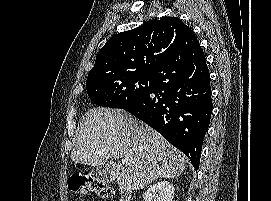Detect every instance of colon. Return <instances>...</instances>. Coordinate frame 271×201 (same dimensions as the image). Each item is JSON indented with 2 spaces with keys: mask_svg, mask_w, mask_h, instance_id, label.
<instances>
[{
  "mask_svg": "<svg viewBox=\"0 0 271 201\" xmlns=\"http://www.w3.org/2000/svg\"><path fill=\"white\" fill-rule=\"evenodd\" d=\"M69 189L73 193L80 195L94 193L103 199H111L114 193L111 186L93 176H81L72 178L69 181Z\"/></svg>",
  "mask_w": 271,
  "mask_h": 201,
  "instance_id": "5ec220e1",
  "label": "colon"
}]
</instances>
